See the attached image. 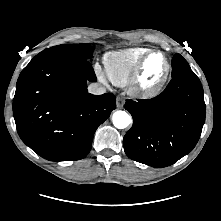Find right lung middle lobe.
<instances>
[{
    "label": "right lung middle lobe",
    "instance_id": "obj_1",
    "mask_svg": "<svg viewBox=\"0 0 221 221\" xmlns=\"http://www.w3.org/2000/svg\"><path fill=\"white\" fill-rule=\"evenodd\" d=\"M94 48L90 44H63L47 48L36 55L34 58L40 57H63L88 60L93 53Z\"/></svg>",
    "mask_w": 221,
    "mask_h": 221
}]
</instances>
